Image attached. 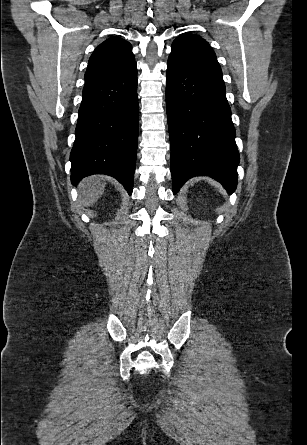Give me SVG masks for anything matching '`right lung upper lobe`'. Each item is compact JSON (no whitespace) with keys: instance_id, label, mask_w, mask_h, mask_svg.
Masks as SVG:
<instances>
[{"instance_id":"right-lung-upper-lobe-1","label":"right lung upper lobe","mask_w":307,"mask_h":445,"mask_svg":"<svg viewBox=\"0 0 307 445\" xmlns=\"http://www.w3.org/2000/svg\"><path fill=\"white\" fill-rule=\"evenodd\" d=\"M136 64L132 46L126 40L112 37L101 43L89 59L85 81L107 78Z\"/></svg>"}]
</instances>
